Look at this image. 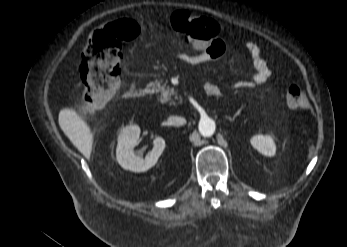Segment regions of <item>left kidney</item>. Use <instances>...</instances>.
Wrapping results in <instances>:
<instances>
[{
  "instance_id": "1",
  "label": "left kidney",
  "mask_w": 347,
  "mask_h": 247,
  "mask_svg": "<svg viewBox=\"0 0 347 247\" xmlns=\"http://www.w3.org/2000/svg\"><path fill=\"white\" fill-rule=\"evenodd\" d=\"M251 145L265 156H274L276 146L271 136L255 135L250 140Z\"/></svg>"
}]
</instances>
